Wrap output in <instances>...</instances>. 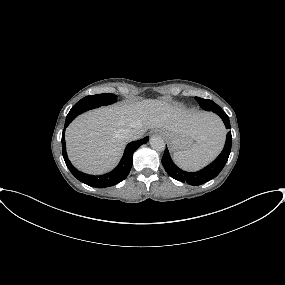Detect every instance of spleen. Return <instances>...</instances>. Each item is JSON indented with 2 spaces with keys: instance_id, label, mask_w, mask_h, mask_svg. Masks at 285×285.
Wrapping results in <instances>:
<instances>
[{
  "instance_id": "3e777b00",
  "label": "spleen",
  "mask_w": 285,
  "mask_h": 285,
  "mask_svg": "<svg viewBox=\"0 0 285 285\" xmlns=\"http://www.w3.org/2000/svg\"><path fill=\"white\" fill-rule=\"evenodd\" d=\"M224 139L225 131L221 124L209 139L198 141L187 150L174 152L173 158L184 170H199L217 157L222 150Z\"/></svg>"
}]
</instances>
